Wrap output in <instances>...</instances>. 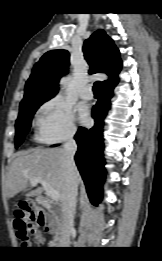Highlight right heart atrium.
Wrapping results in <instances>:
<instances>
[{
	"label": "right heart atrium",
	"mask_w": 162,
	"mask_h": 261,
	"mask_svg": "<svg viewBox=\"0 0 162 261\" xmlns=\"http://www.w3.org/2000/svg\"><path fill=\"white\" fill-rule=\"evenodd\" d=\"M38 139L44 142H61L76 132L72 108L60 97L49 99L41 108L37 119Z\"/></svg>",
	"instance_id": "1"
}]
</instances>
